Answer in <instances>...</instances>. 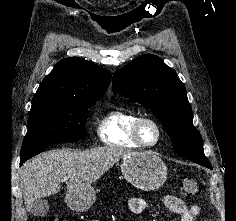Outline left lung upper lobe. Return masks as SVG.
<instances>
[{
	"instance_id": "obj_1",
	"label": "left lung upper lobe",
	"mask_w": 236,
	"mask_h": 221,
	"mask_svg": "<svg viewBox=\"0 0 236 221\" xmlns=\"http://www.w3.org/2000/svg\"><path fill=\"white\" fill-rule=\"evenodd\" d=\"M113 91L149 107L162 120L180 156L212 169L193 125L185 86L161 58L144 54L116 71Z\"/></svg>"
}]
</instances>
